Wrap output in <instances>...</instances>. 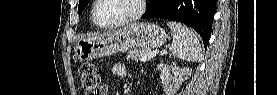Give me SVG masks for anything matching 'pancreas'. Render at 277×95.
<instances>
[{"label": "pancreas", "mask_w": 277, "mask_h": 95, "mask_svg": "<svg viewBox=\"0 0 277 95\" xmlns=\"http://www.w3.org/2000/svg\"><path fill=\"white\" fill-rule=\"evenodd\" d=\"M147 54H148L147 49H134L128 52L127 59L138 60Z\"/></svg>", "instance_id": "cf45deb5"}]
</instances>
